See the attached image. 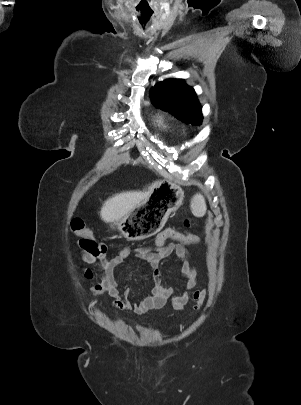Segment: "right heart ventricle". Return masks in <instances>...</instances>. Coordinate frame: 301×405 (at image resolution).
<instances>
[{
    "mask_svg": "<svg viewBox=\"0 0 301 405\" xmlns=\"http://www.w3.org/2000/svg\"><path fill=\"white\" fill-rule=\"evenodd\" d=\"M157 122H158V125H159L161 128H164V129L169 128V122H168L167 119H165L164 117L159 116L158 119H157Z\"/></svg>",
    "mask_w": 301,
    "mask_h": 405,
    "instance_id": "1",
    "label": "right heart ventricle"
}]
</instances>
